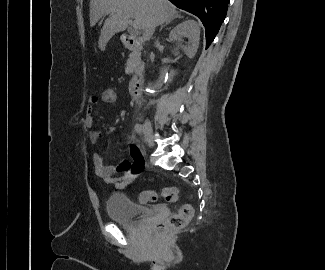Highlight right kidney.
Returning a JSON list of instances; mask_svg holds the SVG:
<instances>
[{"instance_id":"1","label":"right kidney","mask_w":325,"mask_h":270,"mask_svg":"<svg viewBox=\"0 0 325 270\" xmlns=\"http://www.w3.org/2000/svg\"><path fill=\"white\" fill-rule=\"evenodd\" d=\"M200 29L198 24L193 20H187L177 25L169 34V38L173 43L170 48L171 61L179 66L195 56L199 46ZM163 73L168 71L169 76L173 77L177 74L178 69L171 66H164Z\"/></svg>"}]
</instances>
